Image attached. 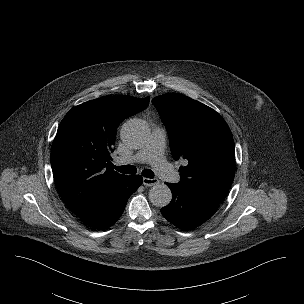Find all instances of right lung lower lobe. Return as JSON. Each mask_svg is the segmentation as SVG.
<instances>
[{
  "label": "right lung lower lobe",
  "mask_w": 304,
  "mask_h": 304,
  "mask_svg": "<svg viewBox=\"0 0 304 304\" xmlns=\"http://www.w3.org/2000/svg\"><path fill=\"white\" fill-rule=\"evenodd\" d=\"M140 175L123 176L114 182L99 202L84 215L82 222L96 229L112 226L122 215L128 198L141 186Z\"/></svg>",
  "instance_id": "98d812e1"
}]
</instances>
